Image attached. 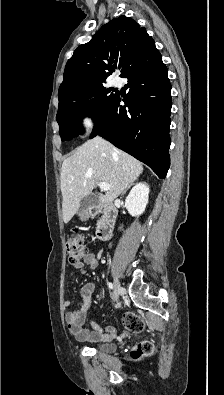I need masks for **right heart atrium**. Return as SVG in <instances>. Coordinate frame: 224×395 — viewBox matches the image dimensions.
I'll use <instances>...</instances> for the list:
<instances>
[{"label": "right heart atrium", "instance_id": "obj_1", "mask_svg": "<svg viewBox=\"0 0 224 395\" xmlns=\"http://www.w3.org/2000/svg\"><path fill=\"white\" fill-rule=\"evenodd\" d=\"M96 123V113L93 109L87 108L85 109L78 120L79 129L82 132L90 131Z\"/></svg>", "mask_w": 224, "mask_h": 395}]
</instances>
